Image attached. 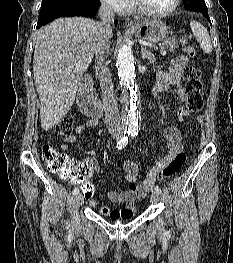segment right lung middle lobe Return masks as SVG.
<instances>
[{
  "mask_svg": "<svg viewBox=\"0 0 233 263\" xmlns=\"http://www.w3.org/2000/svg\"><path fill=\"white\" fill-rule=\"evenodd\" d=\"M82 0H42L38 23L72 13ZM96 1V0H93Z\"/></svg>",
  "mask_w": 233,
  "mask_h": 263,
  "instance_id": "dd1d6c3e",
  "label": "right lung middle lobe"
}]
</instances>
